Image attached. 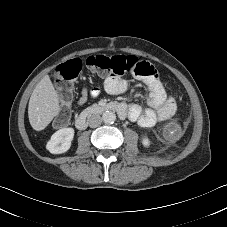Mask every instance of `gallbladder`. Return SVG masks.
Instances as JSON below:
<instances>
[{
	"instance_id": "gallbladder-1",
	"label": "gallbladder",
	"mask_w": 227,
	"mask_h": 227,
	"mask_svg": "<svg viewBox=\"0 0 227 227\" xmlns=\"http://www.w3.org/2000/svg\"><path fill=\"white\" fill-rule=\"evenodd\" d=\"M54 77L58 78L59 77V74H54Z\"/></svg>"
}]
</instances>
